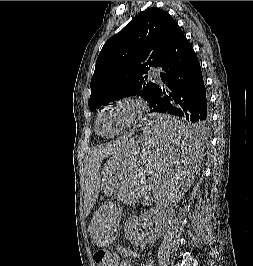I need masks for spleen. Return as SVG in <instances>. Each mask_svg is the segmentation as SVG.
<instances>
[{"mask_svg": "<svg viewBox=\"0 0 253 266\" xmlns=\"http://www.w3.org/2000/svg\"><path fill=\"white\" fill-rule=\"evenodd\" d=\"M143 145L135 150L132 160H119L120 185L115 194L126 203L174 204L184 199V190L192 174H197L203 157L202 124L191 117L162 113L144 118ZM176 189V190H175ZM135 199V200H133ZM117 207H100L92 215L91 235L97 246H118L120 236Z\"/></svg>", "mask_w": 253, "mask_h": 266, "instance_id": "3e777b00", "label": "spleen"}]
</instances>
